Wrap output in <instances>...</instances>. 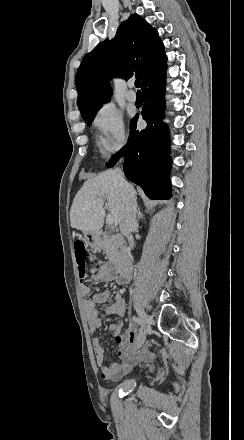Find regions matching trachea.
Masks as SVG:
<instances>
[{"label": "trachea", "mask_w": 244, "mask_h": 440, "mask_svg": "<svg viewBox=\"0 0 244 440\" xmlns=\"http://www.w3.org/2000/svg\"><path fill=\"white\" fill-rule=\"evenodd\" d=\"M135 86H136V88H140L141 87V80H139V79L135 80Z\"/></svg>", "instance_id": "1"}]
</instances>
